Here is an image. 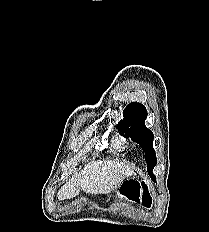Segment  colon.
Here are the masks:
<instances>
[{"label":"colon","instance_id":"5ec220e1","mask_svg":"<svg viewBox=\"0 0 209 232\" xmlns=\"http://www.w3.org/2000/svg\"><path fill=\"white\" fill-rule=\"evenodd\" d=\"M122 194L127 197L128 200L140 204L145 208H150L153 203V196L150 191V186L146 181H129L122 187ZM114 198H118L119 194L114 193Z\"/></svg>","mask_w":209,"mask_h":232}]
</instances>
